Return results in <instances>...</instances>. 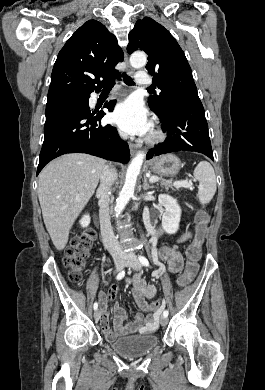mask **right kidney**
<instances>
[{
	"label": "right kidney",
	"instance_id": "obj_1",
	"mask_svg": "<svg viewBox=\"0 0 265 390\" xmlns=\"http://www.w3.org/2000/svg\"><path fill=\"white\" fill-rule=\"evenodd\" d=\"M90 215L89 214H85L82 216L81 220H80V225L85 228L87 227L89 224H90Z\"/></svg>",
	"mask_w": 265,
	"mask_h": 390
}]
</instances>
